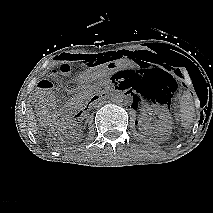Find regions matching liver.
I'll use <instances>...</instances> for the list:
<instances>
[{
    "label": "liver",
    "mask_w": 213,
    "mask_h": 213,
    "mask_svg": "<svg viewBox=\"0 0 213 213\" xmlns=\"http://www.w3.org/2000/svg\"><path fill=\"white\" fill-rule=\"evenodd\" d=\"M27 120H28V124H29L30 128L32 129V131L36 132L37 124H36L33 112L30 108L27 110Z\"/></svg>",
    "instance_id": "6515ba94"
}]
</instances>
